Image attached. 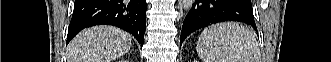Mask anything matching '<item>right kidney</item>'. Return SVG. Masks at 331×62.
<instances>
[{
  "mask_svg": "<svg viewBox=\"0 0 331 62\" xmlns=\"http://www.w3.org/2000/svg\"><path fill=\"white\" fill-rule=\"evenodd\" d=\"M121 62H128V60H121Z\"/></svg>",
  "mask_w": 331,
  "mask_h": 62,
  "instance_id": "right-kidney-1",
  "label": "right kidney"
}]
</instances>
